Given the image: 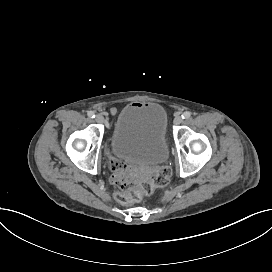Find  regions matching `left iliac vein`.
<instances>
[{"mask_svg":"<svg viewBox=\"0 0 272 272\" xmlns=\"http://www.w3.org/2000/svg\"><path fill=\"white\" fill-rule=\"evenodd\" d=\"M182 122V116L176 115L174 119V124L178 125Z\"/></svg>","mask_w":272,"mask_h":272,"instance_id":"4c4485c4","label":"left iliac vein"}]
</instances>
